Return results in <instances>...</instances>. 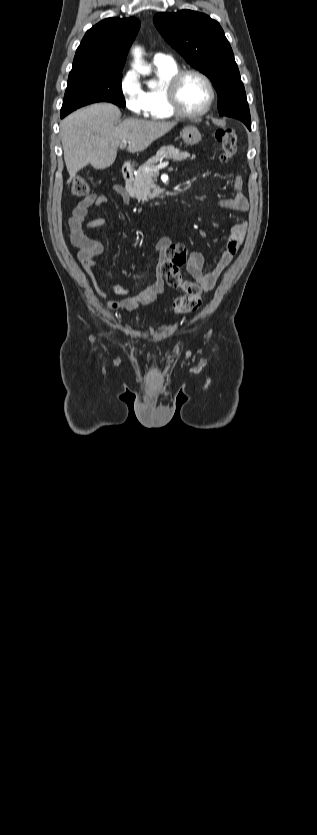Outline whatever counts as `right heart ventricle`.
<instances>
[{"instance_id": "e07e8e85", "label": "right heart ventricle", "mask_w": 317, "mask_h": 835, "mask_svg": "<svg viewBox=\"0 0 317 835\" xmlns=\"http://www.w3.org/2000/svg\"><path fill=\"white\" fill-rule=\"evenodd\" d=\"M158 84L145 91L148 116L155 120L175 117L167 97V84L180 69L174 61L154 64Z\"/></svg>"}]
</instances>
